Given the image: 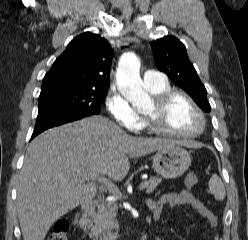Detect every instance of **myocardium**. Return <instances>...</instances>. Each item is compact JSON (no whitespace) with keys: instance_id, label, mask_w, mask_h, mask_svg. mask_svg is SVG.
Returning <instances> with one entry per match:
<instances>
[{"instance_id":"1","label":"myocardium","mask_w":248,"mask_h":240,"mask_svg":"<svg viewBox=\"0 0 248 240\" xmlns=\"http://www.w3.org/2000/svg\"><path fill=\"white\" fill-rule=\"evenodd\" d=\"M176 96L184 97L191 104V106L195 109V111L197 112V114L199 115L201 119V127L198 130L194 132H190V133L176 132V131L168 130V129L161 127L158 124L157 118L155 115L145 114L146 124H147L148 129L158 135L174 137V138L191 139V138L200 136L206 129L207 120L201 107L193 99V97L187 92L180 90V89H167L165 91H162L154 95L153 103H154L155 110L157 112L164 111L166 107L168 106L169 102Z\"/></svg>"}]
</instances>
